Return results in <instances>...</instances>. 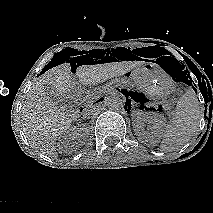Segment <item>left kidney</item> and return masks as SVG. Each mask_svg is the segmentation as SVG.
Masks as SVG:
<instances>
[{"instance_id": "5707ae66", "label": "left kidney", "mask_w": 213, "mask_h": 213, "mask_svg": "<svg viewBox=\"0 0 213 213\" xmlns=\"http://www.w3.org/2000/svg\"><path fill=\"white\" fill-rule=\"evenodd\" d=\"M132 123L134 131L140 140L149 141L154 139L163 129L164 121L156 114H152L144 111H135L132 114ZM151 124V132H146V124Z\"/></svg>"}]
</instances>
